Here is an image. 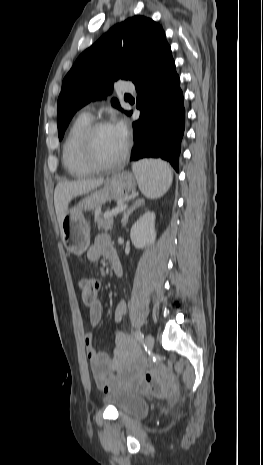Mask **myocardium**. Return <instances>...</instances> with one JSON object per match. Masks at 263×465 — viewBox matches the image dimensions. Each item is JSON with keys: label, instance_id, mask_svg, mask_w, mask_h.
Listing matches in <instances>:
<instances>
[{"label": "myocardium", "instance_id": "obj_1", "mask_svg": "<svg viewBox=\"0 0 263 465\" xmlns=\"http://www.w3.org/2000/svg\"><path fill=\"white\" fill-rule=\"evenodd\" d=\"M108 126L113 125L108 121L92 122L86 127L80 138L79 149L81 158L94 171L110 170L119 166L124 162L129 152V142L126 141L122 153L113 161L102 162L96 157L94 152V137L100 129Z\"/></svg>", "mask_w": 263, "mask_h": 465}]
</instances>
